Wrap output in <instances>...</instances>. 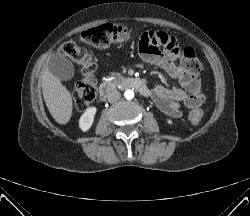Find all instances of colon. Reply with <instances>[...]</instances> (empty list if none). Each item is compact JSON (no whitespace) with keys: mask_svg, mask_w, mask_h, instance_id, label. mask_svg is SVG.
Masks as SVG:
<instances>
[{"mask_svg":"<svg viewBox=\"0 0 250 216\" xmlns=\"http://www.w3.org/2000/svg\"><path fill=\"white\" fill-rule=\"evenodd\" d=\"M129 38V30L120 25L103 24L81 33L80 41L86 45L104 49L112 45H121ZM61 54L81 66L84 79L79 82L73 92V100L78 110H85L96 97V84L93 73L96 64L87 50L77 42H66L62 45ZM180 66L189 74L197 75L202 71V64L191 47H185L180 55ZM204 112L200 106L192 108L188 120L192 125L201 123Z\"/></svg>","mask_w":250,"mask_h":216,"instance_id":"1","label":"colon"}]
</instances>
